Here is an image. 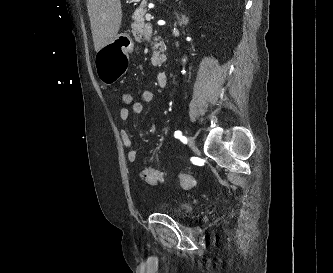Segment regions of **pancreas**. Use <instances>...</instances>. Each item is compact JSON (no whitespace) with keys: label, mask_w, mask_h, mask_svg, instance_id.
Returning <instances> with one entry per match:
<instances>
[{"label":"pancreas","mask_w":333,"mask_h":273,"mask_svg":"<svg viewBox=\"0 0 333 273\" xmlns=\"http://www.w3.org/2000/svg\"><path fill=\"white\" fill-rule=\"evenodd\" d=\"M147 12V4L141 3V5L135 10L132 20L133 23L131 24L132 33L136 36L139 40L142 37H146L149 30H151L150 24H145V14ZM159 47V51L156 49ZM165 45L161 41L160 37L155 38V46L153 47V56L151 58L152 64L154 66H161V64L165 61L166 56L164 55Z\"/></svg>","instance_id":"obj_1"}]
</instances>
